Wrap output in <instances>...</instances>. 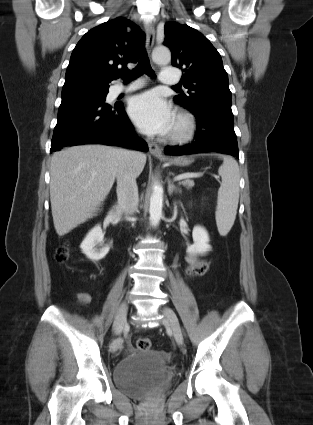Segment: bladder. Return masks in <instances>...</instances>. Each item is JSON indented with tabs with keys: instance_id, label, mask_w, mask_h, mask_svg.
Returning a JSON list of instances; mask_svg holds the SVG:
<instances>
[{
	"instance_id": "bladder-1",
	"label": "bladder",
	"mask_w": 313,
	"mask_h": 425,
	"mask_svg": "<svg viewBox=\"0 0 313 425\" xmlns=\"http://www.w3.org/2000/svg\"><path fill=\"white\" fill-rule=\"evenodd\" d=\"M170 381L168 358L160 350L131 353L114 367L116 388L131 397L161 394Z\"/></svg>"
}]
</instances>
